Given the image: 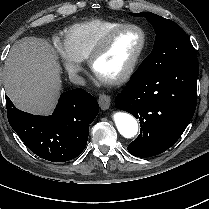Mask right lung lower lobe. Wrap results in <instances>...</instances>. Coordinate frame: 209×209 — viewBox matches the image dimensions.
Segmentation results:
<instances>
[{"instance_id":"obj_1","label":"right lung lower lobe","mask_w":209,"mask_h":209,"mask_svg":"<svg viewBox=\"0 0 209 209\" xmlns=\"http://www.w3.org/2000/svg\"><path fill=\"white\" fill-rule=\"evenodd\" d=\"M10 126L37 156L51 162L76 158L85 149L89 125L99 112L97 100L83 89L62 93L54 113L32 115L14 107L6 96Z\"/></svg>"}]
</instances>
